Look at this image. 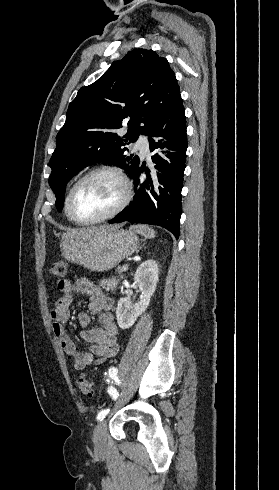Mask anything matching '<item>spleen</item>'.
Instances as JSON below:
<instances>
[{
  "mask_svg": "<svg viewBox=\"0 0 279 490\" xmlns=\"http://www.w3.org/2000/svg\"><path fill=\"white\" fill-rule=\"evenodd\" d=\"M130 230H134V232H137V234H141V236H144V238H154L155 232L154 230H151L149 226H130Z\"/></svg>",
  "mask_w": 279,
  "mask_h": 490,
  "instance_id": "3e777b00",
  "label": "spleen"
}]
</instances>
